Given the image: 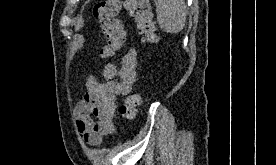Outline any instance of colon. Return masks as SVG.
I'll return each instance as SVG.
<instances>
[{"mask_svg": "<svg viewBox=\"0 0 276 165\" xmlns=\"http://www.w3.org/2000/svg\"><path fill=\"white\" fill-rule=\"evenodd\" d=\"M126 10L134 20L143 44L157 42L156 27L148 0H101L94 7V16L99 21L105 44L101 56L108 57L119 51L125 42V31L118 18ZM141 97L138 93L127 96L119 108L124 120L135 118Z\"/></svg>", "mask_w": 276, "mask_h": 165, "instance_id": "colon-1", "label": "colon"}]
</instances>
